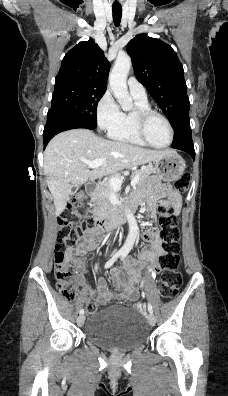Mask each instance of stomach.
<instances>
[{
	"label": "stomach",
	"mask_w": 228,
	"mask_h": 396,
	"mask_svg": "<svg viewBox=\"0 0 228 396\" xmlns=\"http://www.w3.org/2000/svg\"><path fill=\"white\" fill-rule=\"evenodd\" d=\"M154 173L159 179L171 182L177 180L186 167L185 161L176 152H169L162 158L153 161Z\"/></svg>",
	"instance_id": "0dacf381"
}]
</instances>
